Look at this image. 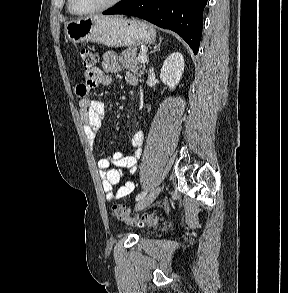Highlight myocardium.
<instances>
[{"label": "myocardium", "instance_id": "myocardium-1", "mask_svg": "<svg viewBox=\"0 0 288 293\" xmlns=\"http://www.w3.org/2000/svg\"><path fill=\"white\" fill-rule=\"evenodd\" d=\"M122 0H110L108 3L103 4L99 7L90 9V10H79L75 7L74 5V0H68V6L69 9L72 13L76 14V15H88V14H93V13H97V12H101V11H105L115 5H117L118 3H120Z\"/></svg>", "mask_w": 288, "mask_h": 293}]
</instances>
